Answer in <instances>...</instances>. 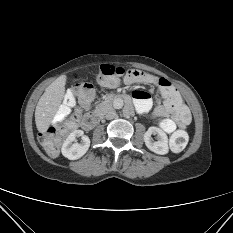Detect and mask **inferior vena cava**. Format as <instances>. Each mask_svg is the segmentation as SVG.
Returning a JSON list of instances; mask_svg holds the SVG:
<instances>
[{"label": "inferior vena cava", "instance_id": "1", "mask_svg": "<svg viewBox=\"0 0 233 233\" xmlns=\"http://www.w3.org/2000/svg\"><path fill=\"white\" fill-rule=\"evenodd\" d=\"M116 116H117L116 111L112 107H109L105 111V118L108 119V120L114 119Z\"/></svg>", "mask_w": 233, "mask_h": 233}]
</instances>
